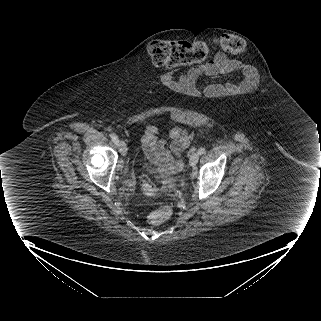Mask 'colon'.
I'll return each mask as SVG.
<instances>
[{"mask_svg": "<svg viewBox=\"0 0 321 321\" xmlns=\"http://www.w3.org/2000/svg\"><path fill=\"white\" fill-rule=\"evenodd\" d=\"M218 48L227 53H241L245 49V42L235 35H221L209 42H187L180 40H157L150 43L148 54L154 65L164 68H177L180 66L201 63L207 60L212 49ZM144 191L153 194V186L144 183ZM171 216V209L164 207L148 216V223L160 225Z\"/></svg>", "mask_w": 321, "mask_h": 321, "instance_id": "5ec220e1", "label": "colon"}]
</instances>
